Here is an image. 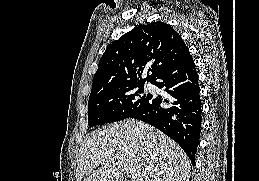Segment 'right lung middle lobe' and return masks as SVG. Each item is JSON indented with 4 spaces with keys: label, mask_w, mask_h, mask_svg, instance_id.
<instances>
[{
    "label": "right lung middle lobe",
    "mask_w": 259,
    "mask_h": 181,
    "mask_svg": "<svg viewBox=\"0 0 259 181\" xmlns=\"http://www.w3.org/2000/svg\"><path fill=\"white\" fill-rule=\"evenodd\" d=\"M152 94L144 93V84L111 89L89 97V126L103 125L131 117L141 110ZM89 128V127H88Z\"/></svg>",
    "instance_id": "dd1d6c3e"
}]
</instances>
